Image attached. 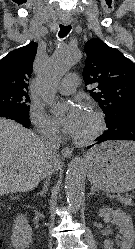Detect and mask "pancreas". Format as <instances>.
Wrapping results in <instances>:
<instances>
[{
    "label": "pancreas",
    "instance_id": "cf45deb5",
    "mask_svg": "<svg viewBox=\"0 0 135 249\" xmlns=\"http://www.w3.org/2000/svg\"><path fill=\"white\" fill-rule=\"evenodd\" d=\"M118 201L124 205H129V206L133 205L132 199L128 197L120 196L118 197Z\"/></svg>",
    "mask_w": 135,
    "mask_h": 249
}]
</instances>
